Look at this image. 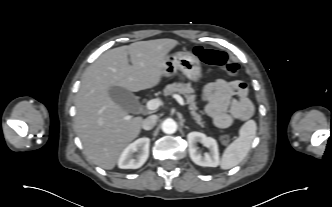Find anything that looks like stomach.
Segmentation results:
<instances>
[{
  "mask_svg": "<svg viewBox=\"0 0 332 207\" xmlns=\"http://www.w3.org/2000/svg\"><path fill=\"white\" fill-rule=\"evenodd\" d=\"M178 70H180L191 82H198L202 78L200 61L191 52H176L166 56L164 60L163 76H174Z\"/></svg>",
  "mask_w": 332,
  "mask_h": 207,
  "instance_id": "stomach-1",
  "label": "stomach"
}]
</instances>
